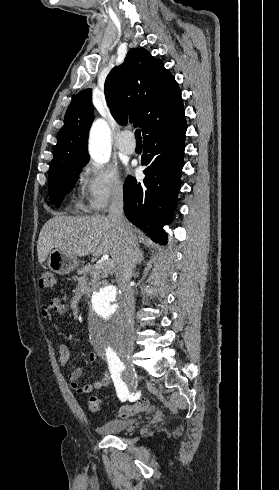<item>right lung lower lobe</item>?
Returning <instances> with one entry per match:
<instances>
[{
    "mask_svg": "<svg viewBox=\"0 0 279 490\" xmlns=\"http://www.w3.org/2000/svg\"><path fill=\"white\" fill-rule=\"evenodd\" d=\"M186 120L144 138L142 165L145 178L128 177L124 183V211L129 221L155 242L164 244L163 226L172 218L181 187Z\"/></svg>",
    "mask_w": 279,
    "mask_h": 490,
    "instance_id": "obj_1",
    "label": "right lung lower lobe"
}]
</instances>
